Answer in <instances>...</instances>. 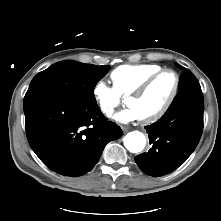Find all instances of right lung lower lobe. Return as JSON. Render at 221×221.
<instances>
[{"mask_svg": "<svg viewBox=\"0 0 221 221\" xmlns=\"http://www.w3.org/2000/svg\"><path fill=\"white\" fill-rule=\"evenodd\" d=\"M26 133L32 150L51 170L77 177L90 171L104 147L122 130L98 105H81L51 96L24 98Z\"/></svg>", "mask_w": 221, "mask_h": 221, "instance_id": "98d812e1", "label": "right lung lower lobe"}]
</instances>
